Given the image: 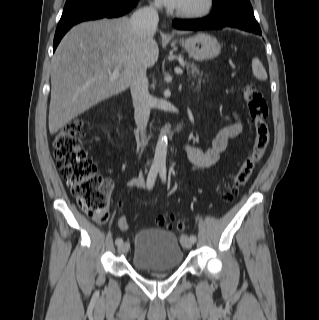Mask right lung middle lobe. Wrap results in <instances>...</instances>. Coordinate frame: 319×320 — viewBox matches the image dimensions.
Masks as SVG:
<instances>
[{
	"label": "right lung middle lobe",
	"instance_id": "obj_1",
	"mask_svg": "<svg viewBox=\"0 0 319 320\" xmlns=\"http://www.w3.org/2000/svg\"><path fill=\"white\" fill-rule=\"evenodd\" d=\"M97 0H67L63 13H67L73 10H76L82 6H85L89 3L95 2Z\"/></svg>",
	"mask_w": 319,
	"mask_h": 320
}]
</instances>
